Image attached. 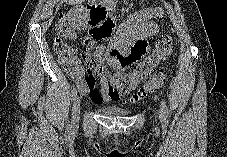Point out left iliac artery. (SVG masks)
<instances>
[{"instance_id":"obj_1","label":"left iliac artery","mask_w":227,"mask_h":157,"mask_svg":"<svg viewBox=\"0 0 227 157\" xmlns=\"http://www.w3.org/2000/svg\"><path fill=\"white\" fill-rule=\"evenodd\" d=\"M167 112L168 111H167V107H166L165 101L162 100L161 101V117L165 118V115H166Z\"/></svg>"}]
</instances>
